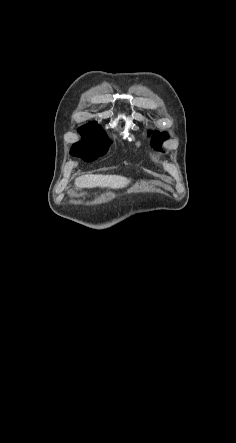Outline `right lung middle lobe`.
I'll return each mask as SVG.
<instances>
[{
    "label": "right lung middle lobe",
    "instance_id": "1",
    "mask_svg": "<svg viewBox=\"0 0 236 443\" xmlns=\"http://www.w3.org/2000/svg\"><path fill=\"white\" fill-rule=\"evenodd\" d=\"M78 131L82 135L83 140L75 143L72 149L93 148L99 151L107 152L111 142L105 132L98 127L97 123H88L79 128Z\"/></svg>",
    "mask_w": 236,
    "mask_h": 443
}]
</instances>
